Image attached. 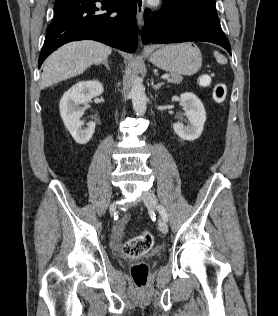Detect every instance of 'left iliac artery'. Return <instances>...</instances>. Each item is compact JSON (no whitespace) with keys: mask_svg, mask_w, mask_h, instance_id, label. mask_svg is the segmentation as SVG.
I'll return each instance as SVG.
<instances>
[{"mask_svg":"<svg viewBox=\"0 0 278 316\" xmlns=\"http://www.w3.org/2000/svg\"><path fill=\"white\" fill-rule=\"evenodd\" d=\"M157 209H158L159 213L161 214L163 220L168 221V214H167L166 210L164 209V207L161 205H158Z\"/></svg>","mask_w":278,"mask_h":316,"instance_id":"1","label":"left iliac artery"}]
</instances>
